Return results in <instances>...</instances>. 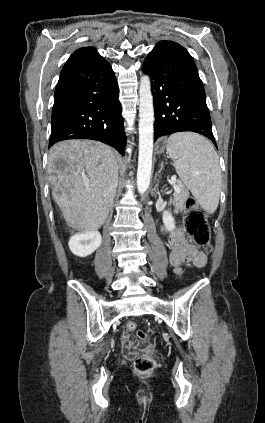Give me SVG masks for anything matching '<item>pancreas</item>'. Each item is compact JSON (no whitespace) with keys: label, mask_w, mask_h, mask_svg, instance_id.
I'll return each mask as SVG.
<instances>
[{"label":"pancreas","mask_w":265,"mask_h":423,"mask_svg":"<svg viewBox=\"0 0 265 423\" xmlns=\"http://www.w3.org/2000/svg\"><path fill=\"white\" fill-rule=\"evenodd\" d=\"M178 187L180 188V192H174L173 200H171L176 212L183 210L184 204L189 194L188 190L181 183L178 184Z\"/></svg>","instance_id":"1"}]
</instances>
